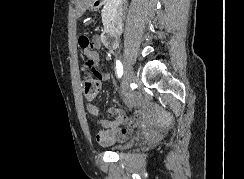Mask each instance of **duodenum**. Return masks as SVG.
Segmentation results:
<instances>
[{"label": "duodenum", "mask_w": 244, "mask_h": 179, "mask_svg": "<svg viewBox=\"0 0 244 179\" xmlns=\"http://www.w3.org/2000/svg\"><path fill=\"white\" fill-rule=\"evenodd\" d=\"M108 0H97L93 2L91 5V10H98V6H101L102 3H107ZM121 11V6L119 4H115V12L112 15V18L109 19V26L108 29L105 30L102 34V41L104 45L108 48H114L118 43V28L116 19L118 14Z\"/></svg>", "instance_id": "duodenum-1"}]
</instances>
